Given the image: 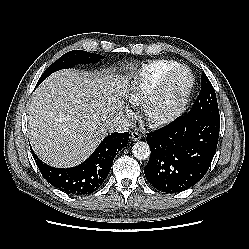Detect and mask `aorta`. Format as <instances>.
I'll return each mask as SVG.
<instances>
[{"label": "aorta", "instance_id": "obj_1", "mask_svg": "<svg viewBox=\"0 0 249 249\" xmlns=\"http://www.w3.org/2000/svg\"><path fill=\"white\" fill-rule=\"evenodd\" d=\"M132 153L138 160H146L149 158L151 150L146 142L138 141L132 147Z\"/></svg>", "mask_w": 249, "mask_h": 249}]
</instances>
